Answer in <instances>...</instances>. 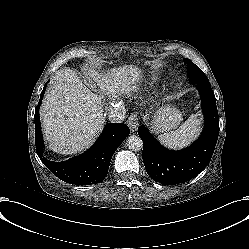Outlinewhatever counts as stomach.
I'll use <instances>...</instances> for the list:
<instances>
[{"mask_svg":"<svg viewBox=\"0 0 249 249\" xmlns=\"http://www.w3.org/2000/svg\"><path fill=\"white\" fill-rule=\"evenodd\" d=\"M183 119L182 113L174 106L159 108L151 118V128L156 134L176 129Z\"/></svg>","mask_w":249,"mask_h":249,"instance_id":"stomach-1","label":"stomach"}]
</instances>
